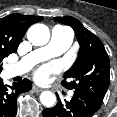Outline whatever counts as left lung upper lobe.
<instances>
[{"instance_id": "1", "label": "left lung upper lobe", "mask_w": 117, "mask_h": 117, "mask_svg": "<svg viewBox=\"0 0 117 117\" xmlns=\"http://www.w3.org/2000/svg\"><path fill=\"white\" fill-rule=\"evenodd\" d=\"M54 20L71 26L80 44L78 58L65 72L61 84L100 107L110 83V62L103 43L74 17H55Z\"/></svg>"}]
</instances>
